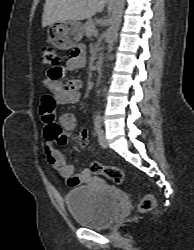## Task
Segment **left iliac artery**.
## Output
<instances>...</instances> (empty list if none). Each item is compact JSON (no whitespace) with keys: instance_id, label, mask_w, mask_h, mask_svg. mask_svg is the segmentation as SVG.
Listing matches in <instances>:
<instances>
[{"instance_id":"obj_1","label":"left iliac artery","mask_w":194,"mask_h":250,"mask_svg":"<svg viewBox=\"0 0 194 250\" xmlns=\"http://www.w3.org/2000/svg\"><path fill=\"white\" fill-rule=\"evenodd\" d=\"M101 125H102V118L101 115L98 113L94 119V130L96 133L99 132Z\"/></svg>"}]
</instances>
